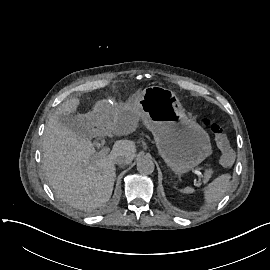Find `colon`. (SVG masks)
<instances>
[{
  "instance_id": "colon-1",
  "label": "colon",
  "mask_w": 270,
  "mask_h": 270,
  "mask_svg": "<svg viewBox=\"0 0 270 270\" xmlns=\"http://www.w3.org/2000/svg\"><path fill=\"white\" fill-rule=\"evenodd\" d=\"M201 123L208 128L215 138L218 149L222 152L220 172L230 174L232 172V161L234 160L233 149L228 138L225 136L223 128L206 116L201 117Z\"/></svg>"
}]
</instances>
